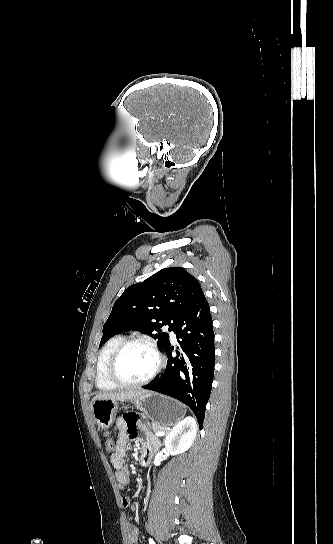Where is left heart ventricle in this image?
I'll use <instances>...</instances> for the list:
<instances>
[{"instance_id": "left-heart-ventricle-1", "label": "left heart ventricle", "mask_w": 333, "mask_h": 544, "mask_svg": "<svg viewBox=\"0 0 333 544\" xmlns=\"http://www.w3.org/2000/svg\"><path fill=\"white\" fill-rule=\"evenodd\" d=\"M156 365L154 354L146 347L133 345L127 348L118 362V374L127 382H137L147 378Z\"/></svg>"}]
</instances>
